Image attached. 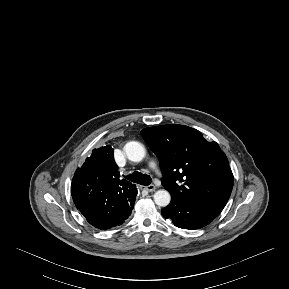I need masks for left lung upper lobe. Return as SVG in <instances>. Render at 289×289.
Listing matches in <instances>:
<instances>
[{
	"label": "left lung upper lobe",
	"instance_id": "left-lung-upper-lobe-1",
	"mask_svg": "<svg viewBox=\"0 0 289 289\" xmlns=\"http://www.w3.org/2000/svg\"><path fill=\"white\" fill-rule=\"evenodd\" d=\"M142 137L157 155L171 196L192 198L222 211L234 177L226 155L198 130L178 124L145 128Z\"/></svg>",
	"mask_w": 289,
	"mask_h": 289
}]
</instances>
